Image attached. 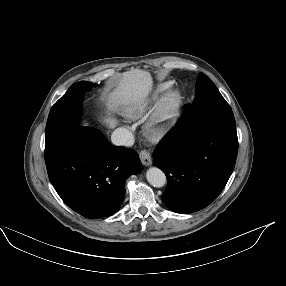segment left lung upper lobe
Segmentation results:
<instances>
[{
    "instance_id": "1",
    "label": "left lung upper lobe",
    "mask_w": 286,
    "mask_h": 286,
    "mask_svg": "<svg viewBox=\"0 0 286 286\" xmlns=\"http://www.w3.org/2000/svg\"><path fill=\"white\" fill-rule=\"evenodd\" d=\"M195 96L192 105L178 120L182 127L208 123L235 125L231 107L203 73L198 75Z\"/></svg>"
}]
</instances>
